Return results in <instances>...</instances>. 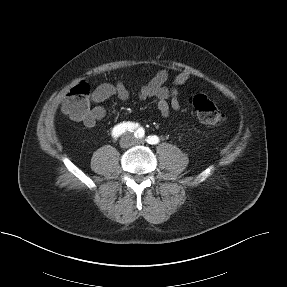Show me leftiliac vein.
Returning <instances> with one entry per match:
<instances>
[{"label": "left iliac vein", "instance_id": "1", "mask_svg": "<svg viewBox=\"0 0 287 287\" xmlns=\"http://www.w3.org/2000/svg\"><path fill=\"white\" fill-rule=\"evenodd\" d=\"M144 140H138V139H134L133 144H140L142 143Z\"/></svg>", "mask_w": 287, "mask_h": 287}]
</instances>
